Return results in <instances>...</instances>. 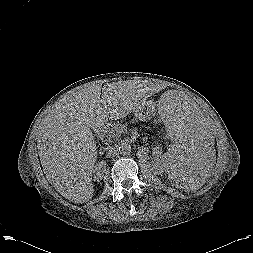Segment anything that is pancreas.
<instances>
[{
  "label": "pancreas",
  "instance_id": "1",
  "mask_svg": "<svg viewBox=\"0 0 253 253\" xmlns=\"http://www.w3.org/2000/svg\"><path fill=\"white\" fill-rule=\"evenodd\" d=\"M101 131L100 136L106 137L107 141H110L112 139L118 140L123 129L120 126H112L111 128L104 127Z\"/></svg>",
  "mask_w": 253,
  "mask_h": 253
}]
</instances>
